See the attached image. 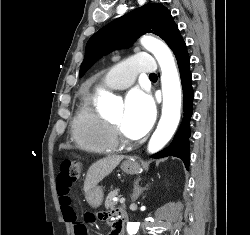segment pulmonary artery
Here are the masks:
<instances>
[{
    "mask_svg": "<svg viewBox=\"0 0 250 235\" xmlns=\"http://www.w3.org/2000/svg\"><path fill=\"white\" fill-rule=\"evenodd\" d=\"M156 71L157 65L154 57L148 52H140L111 70L103 78L102 86L109 90L125 89L133 83L135 72L152 74Z\"/></svg>",
    "mask_w": 250,
    "mask_h": 235,
    "instance_id": "1",
    "label": "pulmonary artery"
}]
</instances>
